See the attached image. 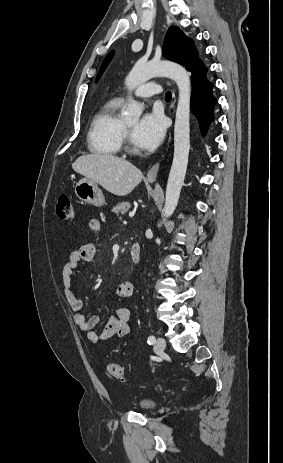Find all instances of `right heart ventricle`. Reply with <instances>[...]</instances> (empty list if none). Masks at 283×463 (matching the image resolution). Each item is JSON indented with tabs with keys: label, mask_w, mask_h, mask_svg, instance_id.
Here are the masks:
<instances>
[{
	"label": "right heart ventricle",
	"mask_w": 283,
	"mask_h": 463,
	"mask_svg": "<svg viewBox=\"0 0 283 463\" xmlns=\"http://www.w3.org/2000/svg\"><path fill=\"white\" fill-rule=\"evenodd\" d=\"M120 104V99H111L95 113L87 135L88 148L92 153L102 156L119 153L124 124L118 113Z\"/></svg>",
	"instance_id": "obj_1"
}]
</instances>
